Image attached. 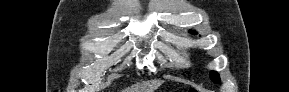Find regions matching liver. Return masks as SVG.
<instances>
[{"instance_id":"liver-1","label":"liver","mask_w":289,"mask_h":92,"mask_svg":"<svg viewBox=\"0 0 289 92\" xmlns=\"http://www.w3.org/2000/svg\"><path fill=\"white\" fill-rule=\"evenodd\" d=\"M163 82V80L154 79L145 83L137 84L130 89H126L130 91L125 92H154Z\"/></svg>"}]
</instances>
